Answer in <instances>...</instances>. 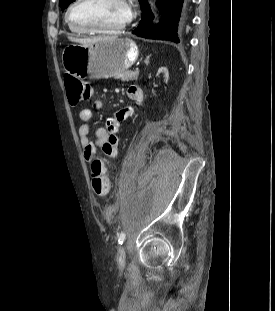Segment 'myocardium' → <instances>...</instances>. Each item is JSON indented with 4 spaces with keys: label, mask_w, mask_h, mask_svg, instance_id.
<instances>
[{
    "label": "myocardium",
    "mask_w": 275,
    "mask_h": 311,
    "mask_svg": "<svg viewBox=\"0 0 275 311\" xmlns=\"http://www.w3.org/2000/svg\"><path fill=\"white\" fill-rule=\"evenodd\" d=\"M85 1H87V0H75L67 9L66 22L73 29H78L80 31H83L84 33L101 34V35H114V34H118L122 31H124L131 22V13H130L129 3L127 2V0H122V2H124L127 5L128 10H129V14H128L126 21L122 25H120L119 27H116L113 29H96V28H92V27H88V26H84V25H77L73 22L71 15H72L74 8L77 5H79L80 3L85 2Z\"/></svg>",
    "instance_id": "f54148a6"
}]
</instances>
